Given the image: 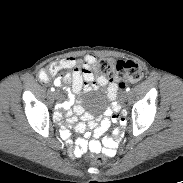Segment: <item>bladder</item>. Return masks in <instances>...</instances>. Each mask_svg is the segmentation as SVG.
<instances>
[{
	"label": "bladder",
	"instance_id": "obj_1",
	"mask_svg": "<svg viewBox=\"0 0 183 183\" xmlns=\"http://www.w3.org/2000/svg\"><path fill=\"white\" fill-rule=\"evenodd\" d=\"M107 103L108 99L106 95L95 93L89 97L87 105L92 113H99L106 108Z\"/></svg>",
	"mask_w": 183,
	"mask_h": 183
}]
</instances>
